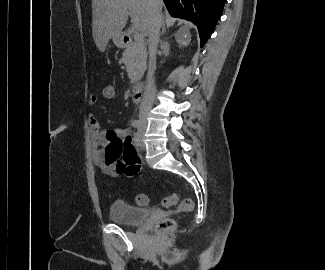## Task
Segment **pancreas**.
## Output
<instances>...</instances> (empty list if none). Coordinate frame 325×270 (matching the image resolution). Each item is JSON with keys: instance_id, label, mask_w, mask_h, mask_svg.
<instances>
[{"instance_id": "cf45deb5", "label": "pancreas", "mask_w": 325, "mask_h": 270, "mask_svg": "<svg viewBox=\"0 0 325 270\" xmlns=\"http://www.w3.org/2000/svg\"><path fill=\"white\" fill-rule=\"evenodd\" d=\"M120 63L125 65L131 83L136 84L143 77L147 66L145 44L134 42L129 45L124 51Z\"/></svg>"}]
</instances>
